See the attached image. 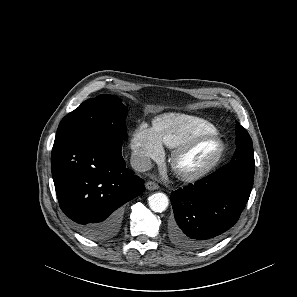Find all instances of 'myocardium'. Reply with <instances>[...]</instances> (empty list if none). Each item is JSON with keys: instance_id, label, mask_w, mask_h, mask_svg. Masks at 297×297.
Listing matches in <instances>:
<instances>
[{"instance_id": "obj_1", "label": "myocardium", "mask_w": 297, "mask_h": 297, "mask_svg": "<svg viewBox=\"0 0 297 297\" xmlns=\"http://www.w3.org/2000/svg\"><path fill=\"white\" fill-rule=\"evenodd\" d=\"M207 139H212L216 143V150L211 158L205 164L196 169H184L180 164L181 159L192 149H194L200 142ZM224 150V142L216 131L199 133L189 138L187 141L174 149L170 158L171 166L175 174L180 179L185 181L197 180L210 172L220 162Z\"/></svg>"}]
</instances>
